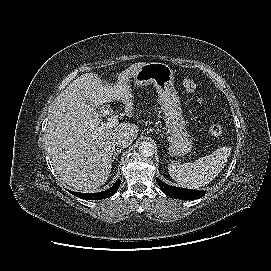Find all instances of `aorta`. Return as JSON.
<instances>
[{"instance_id":"762f6f07","label":"aorta","mask_w":271,"mask_h":271,"mask_svg":"<svg viewBox=\"0 0 271 271\" xmlns=\"http://www.w3.org/2000/svg\"><path fill=\"white\" fill-rule=\"evenodd\" d=\"M139 152L144 157H151L154 154V146L148 141H143L139 145Z\"/></svg>"}]
</instances>
